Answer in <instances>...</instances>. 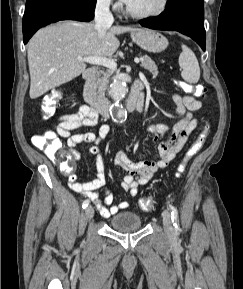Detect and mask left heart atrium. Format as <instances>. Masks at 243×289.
Returning <instances> with one entry per match:
<instances>
[{
  "instance_id": "39dd6f15",
  "label": "left heart atrium",
  "mask_w": 243,
  "mask_h": 289,
  "mask_svg": "<svg viewBox=\"0 0 243 289\" xmlns=\"http://www.w3.org/2000/svg\"><path fill=\"white\" fill-rule=\"evenodd\" d=\"M125 3H128L129 2V0H123Z\"/></svg>"
}]
</instances>
